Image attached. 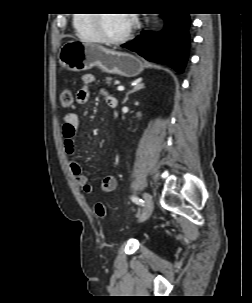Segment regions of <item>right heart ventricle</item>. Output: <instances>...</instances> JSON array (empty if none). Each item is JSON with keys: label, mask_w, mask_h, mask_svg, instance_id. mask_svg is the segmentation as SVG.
<instances>
[{"label": "right heart ventricle", "mask_w": 252, "mask_h": 303, "mask_svg": "<svg viewBox=\"0 0 252 303\" xmlns=\"http://www.w3.org/2000/svg\"><path fill=\"white\" fill-rule=\"evenodd\" d=\"M74 26L83 38L95 42L102 41L95 24L94 14H78L74 19Z\"/></svg>", "instance_id": "e07e8e85"}]
</instances>
